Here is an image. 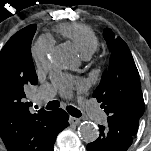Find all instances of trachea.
Segmentation results:
<instances>
[{
    "label": "trachea",
    "instance_id": "trachea-1",
    "mask_svg": "<svg viewBox=\"0 0 151 151\" xmlns=\"http://www.w3.org/2000/svg\"><path fill=\"white\" fill-rule=\"evenodd\" d=\"M60 106V102L57 101V100H54V101H50L47 105H46V109L47 110H53V109H56ZM67 112L73 116V117H81V112L73 107V106H67Z\"/></svg>",
    "mask_w": 151,
    "mask_h": 151
}]
</instances>
